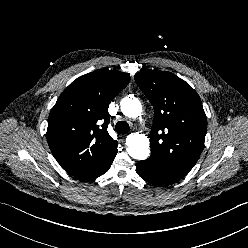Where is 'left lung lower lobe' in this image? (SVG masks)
Returning <instances> with one entry per match:
<instances>
[{
  "label": "left lung lower lobe",
  "mask_w": 248,
  "mask_h": 248,
  "mask_svg": "<svg viewBox=\"0 0 248 248\" xmlns=\"http://www.w3.org/2000/svg\"><path fill=\"white\" fill-rule=\"evenodd\" d=\"M138 175L145 181L156 186H167L183 178L154 157L136 163Z\"/></svg>",
  "instance_id": "left-lung-lower-lobe-1"
}]
</instances>
